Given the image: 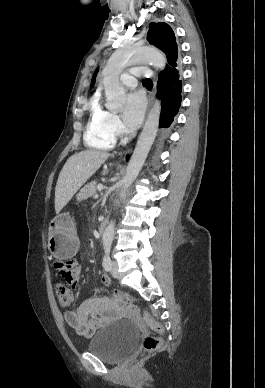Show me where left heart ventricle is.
<instances>
[{
    "label": "left heart ventricle",
    "mask_w": 265,
    "mask_h": 388,
    "mask_svg": "<svg viewBox=\"0 0 265 388\" xmlns=\"http://www.w3.org/2000/svg\"><path fill=\"white\" fill-rule=\"evenodd\" d=\"M121 87L123 88V91H126V93L131 91V89L133 88V86H122V85Z\"/></svg>",
    "instance_id": "left-heart-ventricle-1"
}]
</instances>
